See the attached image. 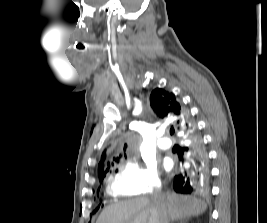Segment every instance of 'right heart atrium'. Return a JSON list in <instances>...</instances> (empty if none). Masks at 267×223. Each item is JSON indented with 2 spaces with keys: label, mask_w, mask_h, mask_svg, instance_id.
Segmentation results:
<instances>
[{
  "label": "right heart atrium",
  "mask_w": 267,
  "mask_h": 223,
  "mask_svg": "<svg viewBox=\"0 0 267 223\" xmlns=\"http://www.w3.org/2000/svg\"><path fill=\"white\" fill-rule=\"evenodd\" d=\"M161 186V179L154 165L128 160L115 176L112 189L117 194L146 195Z\"/></svg>",
  "instance_id": "right-heart-atrium-1"
}]
</instances>
